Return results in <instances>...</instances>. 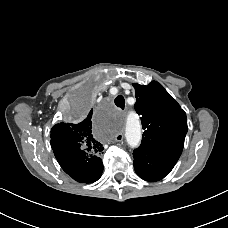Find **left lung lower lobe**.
Masks as SVG:
<instances>
[{
	"label": "left lung lower lobe",
	"instance_id": "left-lung-lower-lobe-1",
	"mask_svg": "<svg viewBox=\"0 0 228 228\" xmlns=\"http://www.w3.org/2000/svg\"><path fill=\"white\" fill-rule=\"evenodd\" d=\"M133 157L137 175L143 180L153 182L168 175L180 155L139 147L133 151Z\"/></svg>",
	"mask_w": 228,
	"mask_h": 228
}]
</instances>
